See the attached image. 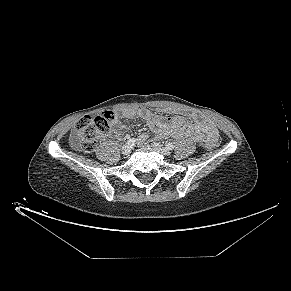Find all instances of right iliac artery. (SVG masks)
Instances as JSON below:
<instances>
[{"instance_id": "1", "label": "right iliac artery", "mask_w": 291, "mask_h": 291, "mask_svg": "<svg viewBox=\"0 0 291 291\" xmlns=\"http://www.w3.org/2000/svg\"><path fill=\"white\" fill-rule=\"evenodd\" d=\"M135 142H136V139L132 138V139H129V140L126 142V144H127V145H130V146H133Z\"/></svg>"}]
</instances>
